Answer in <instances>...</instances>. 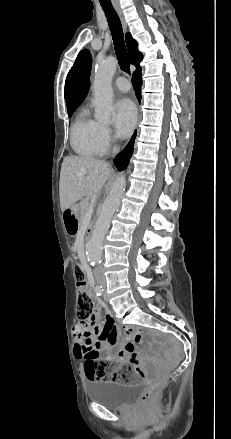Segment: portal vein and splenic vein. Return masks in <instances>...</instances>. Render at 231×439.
<instances>
[{"label": "portal vein and splenic vein", "instance_id": "1", "mask_svg": "<svg viewBox=\"0 0 231 439\" xmlns=\"http://www.w3.org/2000/svg\"><path fill=\"white\" fill-rule=\"evenodd\" d=\"M92 214H93V206L90 205V207H89V209L87 211V214H86V219L91 218Z\"/></svg>", "mask_w": 231, "mask_h": 439}]
</instances>
